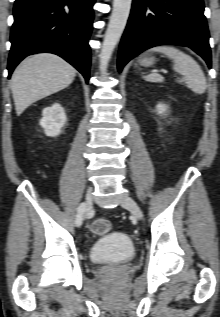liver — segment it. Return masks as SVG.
<instances>
[{
	"instance_id": "6515ba94",
	"label": "liver",
	"mask_w": 220,
	"mask_h": 317,
	"mask_svg": "<svg viewBox=\"0 0 220 317\" xmlns=\"http://www.w3.org/2000/svg\"><path fill=\"white\" fill-rule=\"evenodd\" d=\"M75 75V68L57 55L39 53L26 58L11 78L17 116L32 103L68 87Z\"/></svg>"
}]
</instances>
